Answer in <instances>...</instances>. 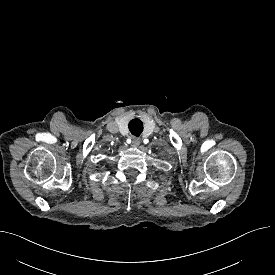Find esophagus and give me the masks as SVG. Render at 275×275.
Returning <instances> with one entry per match:
<instances>
[{"label":"esophagus","instance_id":"1","mask_svg":"<svg viewBox=\"0 0 275 275\" xmlns=\"http://www.w3.org/2000/svg\"><path fill=\"white\" fill-rule=\"evenodd\" d=\"M141 140L137 137H132V145L137 147L140 145Z\"/></svg>","mask_w":275,"mask_h":275}]
</instances>
